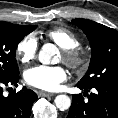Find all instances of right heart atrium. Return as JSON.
Wrapping results in <instances>:
<instances>
[{
	"mask_svg": "<svg viewBox=\"0 0 118 118\" xmlns=\"http://www.w3.org/2000/svg\"><path fill=\"white\" fill-rule=\"evenodd\" d=\"M37 51V37L34 34H27L18 42L15 53L22 63H29L36 57Z\"/></svg>",
	"mask_w": 118,
	"mask_h": 118,
	"instance_id": "right-heart-atrium-1",
	"label": "right heart atrium"
}]
</instances>
